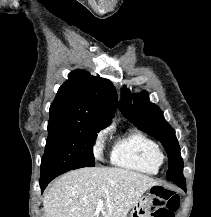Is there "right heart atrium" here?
<instances>
[{
	"instance_id": "right-heart-atrium-1",
	"label": "right heart atrium",
	"mask_w": 211,
	"mask_h": 217,
	"mask_svg": "<svg viewBox=\"0 0 211 217\" xmlns=\"http://www.w3.org/2000/svg\"><path fill=\"white\" fill-rule=\"evenodd\" d=\"M108 130H100L95 137L93 150L96 156H100L105 148Z\"/></svg>"
}]
</instances>
